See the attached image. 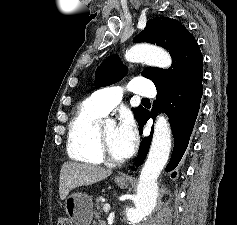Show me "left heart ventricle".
<instances>
[{"mask_svg":"<svg viewBox=\"0 0 237 225\" xmlns=\"http://www.w3.org/2000/svg\"><path fill=\"white\" fill-rule=\"evenodd\" d=\"M102 129L111 154L117 159H122L116 147V126L108 124L104 125Z\"/></svg>","mask_w":237,"mask_h":225,"instance_id":"b2bd125f","label":"left heart ventricle"}]
</instances>
